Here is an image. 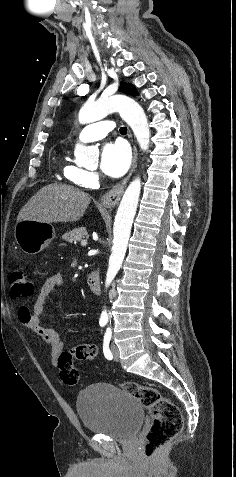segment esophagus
Wrapping results in <instances>:
<instances>
[{
	"instance_id": "esophagus-1",
	"label": "esophagus",
	"mask_w": 236,
	"mask_h": 477,
	"mask_svg": "<svg viewBox=\"0 0 236 477\" xmlns=\"http://www.w3.org/2000/svg\"><path fill=\"white\" fill-rule=\"evenodd\" d=\"M129 137L131 138V141H132V144H133V161H132L131 170H130L128 176L123 181L118 183L116 186H114V188L112 190L105 193L101 197V204L106 208H112L119 203V201L121 199V196L124 192V189L127 185V182L130 179V177H131V175L134 172V169L136 167L137 155H138L137 154V148H136V145L133 142V138H132L131 133H129Z\"/></svg>"
}]
</instances>
